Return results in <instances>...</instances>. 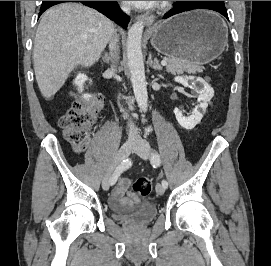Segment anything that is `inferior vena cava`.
<instances>
[{"instance_id": "obj_1", "label": "inferior vena cava", "mask_w": 271, "mask_h": 266, "mask_svg": "<svg viewBox=\"0 0 271 266\" xmlns=\"http://www.w3.org/2000/svg\"><path fill=\"white\" fill-rule=\"evenodd\" d=\"M122 9L127 14H130V8L129 7L124 6ZM117 42H118V38H117V35L115 34V36L112 37V39L110 41V44H109L110 53H111V56L114 59L113 60V65L111 66V69H110V71L112 73L115 72V62L118 59V57H117ZM128 137H129V140H132V141L140 140V135H139L137 129L134 128L133 126H131L129 128Z\"/></svg>"}]
</instances>
